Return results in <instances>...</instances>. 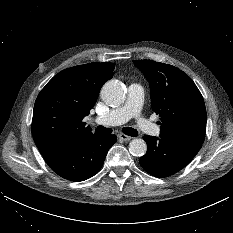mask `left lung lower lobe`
Returning <instances> with one entry per match:
<instances>
[{
	"label": "left lung lower lobe",
	"instance_id": "0a47b994",
	"mask_svg": "<svg viewBox=\"0 0 233 233\" xmlns=\"http://www.w3.org/2000/svg\"><path fill=\"white\" fill-rule=\"evenodd\" d=\"M146 154L139 159L142 168L155 177H168L183 169L198 153L202 144L145 135Z\"/></svg>",
	"mask_w": 233,
	"mask_h": 233
}]
</instances>
